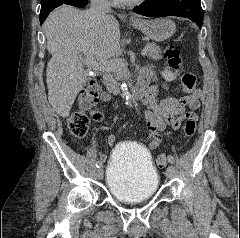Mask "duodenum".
Returning <instances> with one entry per match:
<instances>
[{
  "label": "duodenum",
  "instance_id": "duodenum-1",
  "mask_svg": "<svg viewBox=\"0 0 240 238\" xmlns=\"http://www.w3.org/2000/svg\"><path fill=\"white\" fill-rule=\"evenodd\" d=\"M106 87L108 91L112 94L118 95L121 93L120 86L117 84L113 76L105 72L103 75ZM149 75L147 72H142L138 77L137 82L132 87V96L134 99L140 100L145 97L147 92V87L149 85Z\"/></svg>",
  "mask_w": 240,
  "mask_h": 238
}]
</instances>
